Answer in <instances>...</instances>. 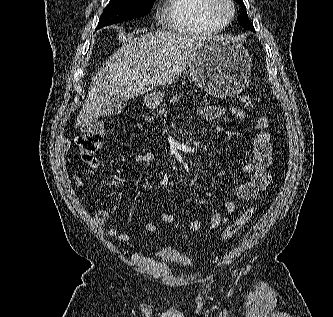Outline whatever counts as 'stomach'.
<instances>
[{"instance_id":"0dacf381","label":"stomach","mask_w":333,"mask_h":317,"mask_svg":"<svg viewBox=\"0 0 333 317\" xmlns=\"http://www.w3.org/2000/svg\"><path fill=\"white\" fill-rule=\"evenodd\" d=\"M252 57L231 37H214L206 41L188 63L195 84L210 95L225 99L238 95L248 84ZM164 98L162 92L148 94L144 103L156 108Z\"/></svg>"}]
</instances>
